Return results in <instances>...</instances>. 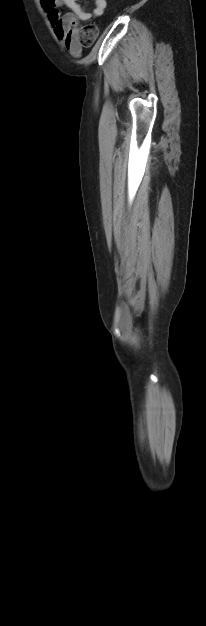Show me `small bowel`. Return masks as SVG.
<instances>
[{
  "instance_id": "c3829d8e",
  "label": "small bowel",
  "mask_w": 206,
  "mask_h": 626,
  "mask_svg": "<svg viewBox=\"0 0 206 626\" xmlns=\"http://www.w3.org/2000/svg\"><path fill=\"white\" fill-rule=\"evenodd\" d=\"M43 9L53 25L56 37L63 43L68 53L79 57L82 53V44L79 40L78 26L81 21H88L101 16L105 9L106 0H94L91 12L85 11L77 0H41ZM66 6L70 12L62 14L60 7Z\"/></svg>"
}]
</instances>
